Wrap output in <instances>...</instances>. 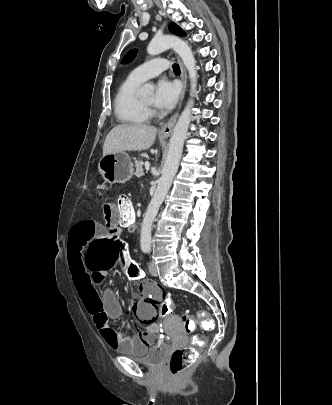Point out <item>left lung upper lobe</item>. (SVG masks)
<instances>
[{"label":"left lung upper lobe","mask_w":332,"mask_h":405,"mask_svg":"<svg viewBox=\"0 0 332 405\" xmlns=\"http://www.w3.org/2000/svg\"><path fill=\"white\" fill-rule=\"evenodd\" d=\"M169 31L172 32V33H174V34H176V35H179V36H184V35H185V33L183 32V30H182L180 27H178L175 23H170V25H169ZM135 54H136V50H131V51H129V52L126 54V56L124 57L123 62H129V61H131V60L133 59V57H134Z\"/></svg>","instance_id":"5c2ea615"}]
</instances>
